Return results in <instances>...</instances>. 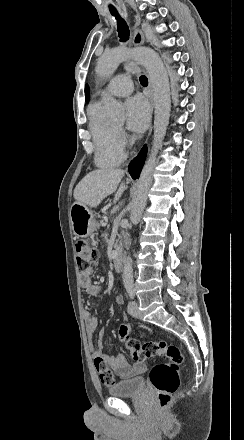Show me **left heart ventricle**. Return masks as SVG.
Here are the masks:
<instances>
[{"instance_id": "b2bd125f", "label": "left heart ventricle", "mask_w": 244, "mask_h": 440, "mask_svg": "<svg viewBox=\"0 0 244 440\" xmlns=\"http://www.w3.org/2000/svg\"><path fill=\"white\" fill-rule=\"evenodd\" d=\"M112 125L115 126V127H118V126L121 125V124L113 123Z\"/></svg>"}]
</instances>
